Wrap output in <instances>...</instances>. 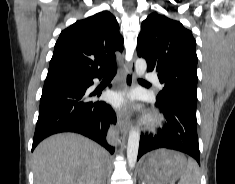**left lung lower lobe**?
Wrapping results in <instances>:
<instances>
[{"mask_svg":"<svg viewBox=\"0 0 235 184\" xmlns=\"http://www.w3.org/2000/svg\"><path fill=\"white\" fill-rule=\"evenodd\" d=\"M156 106L165 116V127L154 137L141 135L138 159L151 150L166 148L184 152L200 164L196 108L177 98L156 101Z\"/></svg>","mask_w":235,"mask_h":184,"instance_id":"0a47b994","label":"left lung lower lobe"}]
</instances>
